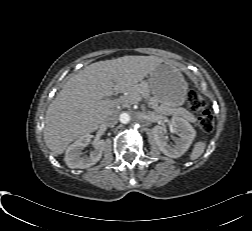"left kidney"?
<instances>
[{"instance_id": "obj_1", "label": "left kidney", "mask_w": 252, "mask_h": 231, "mask_svg": "<svg viewBox=\"0 0 252 231\" xmlns=\"http://www.w3.org/2000/svg\"><path fill=\"white\" fill-rule=\"evenodd\" d=\"M171 122L180 136L176 140V145L171 146L168 144L167 136L165 135L166 130L162 126H155L153 128V135L162 153L171 158H178L188 150L196 136V131L188 121L182 118L173 117Z\"/></svg>"}]
</instances>
